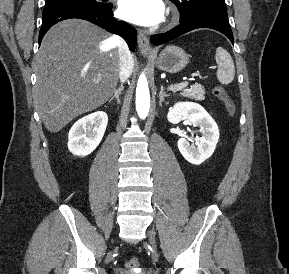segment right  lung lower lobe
<instances>
[{
    "label": "right lung lower lobe",
    "mask_w": 289,
    "mask_h": 274,
    "mask_svg": "<svg viewBox=\"0 0 289 274\" xmlns=\"http://www.w3.org/2000/svg\"><path fill=\"white\" fill-rule=\"evenodd\" d=\"M112 6L111 3H66L44 7L39 43H41L44 34L54 24L70 18H79L94 23L111 33L120 35L125 39L130 50L134 52L137 31L126 22L116 20L113 17Z\"/></svg>",
    "instance_id": "98d812e1"
}]
</instances>
